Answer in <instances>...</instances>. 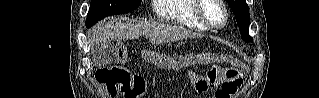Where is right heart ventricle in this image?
<instances>
[{
	"label": "right heart ventricle",
	"instance_id": "right-heart-ventricle-1",
	"mask_svg": "<svg viewBox=\"0 0 319 98\" xmlns=\"http://www.w3.org/2000/svg\"><path fill=\"white\" fill-rule=\"evenodd\" d=\"M196 3L197 0H156L154 9L165 22L206 31L208 27L196 15Z\"/></svg>",
	"mask_w": 319,
	"mask_h": 98
}]
</instances>
